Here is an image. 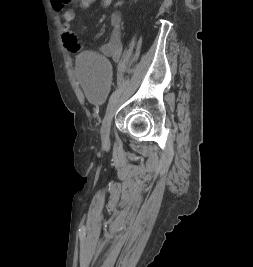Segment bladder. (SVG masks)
<instances>
[{
    "instance_id": "1",
    "label": "bladder",
    "mask_w": 253,
    "mask_h": 267,
    "mask_svg": "<svg viewBox=\"0 0 253 267\" xmlns=\"http://www.w3.org/2000/svg\"><path fill=\"white\" fill-rule=\"evenodd\" d=\"M75 76L88 99L103 103L110 90V67L105 56L82 52L76 59Z\"/></svg>"
}]
</instances>
